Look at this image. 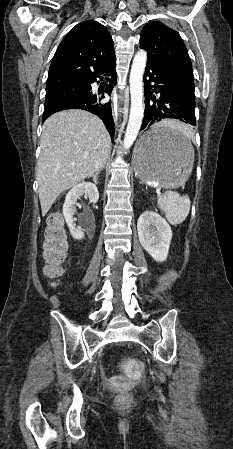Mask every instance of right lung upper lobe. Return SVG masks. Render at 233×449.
<instances>
[{"instance_id": "1", "label": "right lung upper lobe", "mask_w": 233, "mask_h": 449, "mask_svg": "<svg viewBox=\"0 0 233 449\" xmlns=\"http://www.w3.org/2000/svg\"><path fill=\"white\" fill-rule=\"evenodd\" d=\"M115 61L113 40L106 27L93 20L81 22L59 45L50 65L46 91L87 84Z\"/></svg>"}]
</instances>
